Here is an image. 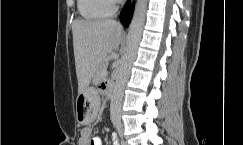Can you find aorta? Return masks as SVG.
Listing matches in <instances>:
<instances>
[{
  "label": "aorta",
  "mask_w": 243,
  "mask_h": 145,
  "mask_svg": "<svg viewBox=\"0 0 243 145\" xmlns=\"http://www.w3.org/2000/svg\"><path fill=\"white\" fill-rule=\"evenodd\" d=\"M148 0H137L134 15L127 35V43L124 55L121 59L118 75L114 85L110 103L111 119L115 122L120 121V112L125 85L128 81L130 70L136 58L139 43L141 41L143 27L146 19Z\"/></svg>",
  "instance_id": "762f6f07"
}]
</instances>
